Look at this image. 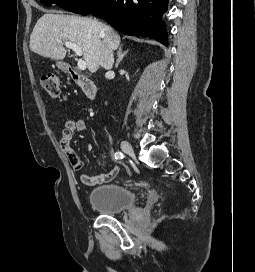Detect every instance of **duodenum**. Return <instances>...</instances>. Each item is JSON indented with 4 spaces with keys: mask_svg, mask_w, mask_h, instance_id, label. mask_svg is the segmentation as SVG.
Masks as SVG:
<instances>
[{
    "mask_svg": "<svg viewBox=\"0 0 255 272\" xmlns=\"http://www.w3.org/2000/svg\"><path fill=\"white\" fill-rule=\"evenodd\" d=\"M64 69L71 77L73 82L80 87V89L87 98L94 99L97 96V87L90 78L79 73L78 70L71 65L66 64L64 66Z\"/></svg>",
    "mask_w": 255,
    "mask_h": 272,
    "instance_id": "duodenum-1",
    "label": "duodenum"
}]
</instances>
